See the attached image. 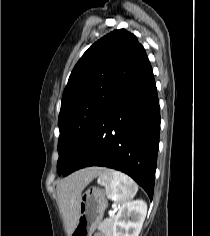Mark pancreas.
Here are the masks:
<instances>
[{
    "instance_id": "obj_1",
    "label": "pancreas",
    "mask_w": 210,
    "mask_h": 236,
    "mask_svg": "<svg viewBox=\"0 0 210 236\" xmlns=\"http://www.w3.org/2000/svg\"><path fill=\"white\" fill-rule=\"evenodd\" d=\"M115 216H110V218L104 219L102 223L99 225V229L104 232L107 236H110L112 226L114 224Z\"/></svg>"
}]
</instances>
